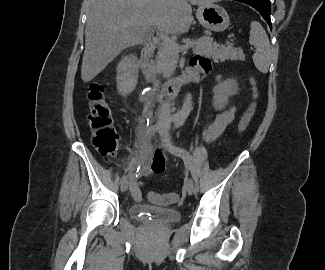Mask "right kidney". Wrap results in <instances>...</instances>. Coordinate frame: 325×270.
<instances>
[{
  "label": "right kidney",
  "mask_w": 325,
  "mask_h": 270,
  "mask_svg": "<svg viewBox=\"0 0 325 270\" xmlns=\"http://www.w3.org/2000/svg\"><path fill=\"white\" fill-rule=\"evenodd\" d=\"M119 66L120 74L118 77L117 88L119 94L125 97L135 89L138 82L136 58L133 56L124 57Z\"/></svg>",
  "instance_id": "1"
}]
</instances>
